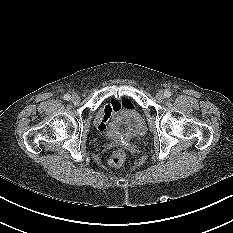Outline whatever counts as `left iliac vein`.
Returning a JSON list of instances; mask_svg holds the SVG:
<instances>
[{"label": "left iliac vein", "instance_id": "left-iliac-vein-1", "mask_svg": "<svg viewBox=\"0 0 233 233\" xmlns=\"http://www.w3.org/2000/svg\"><path fill=\"white\" fill-rule=\"evenodd\" d=\"M156 98L159 99V100L163 99L164 98V92L163 91H158L156 93Z\"/></svg>", "mask_w": 233, "mask_h": 233}]
</instances>
